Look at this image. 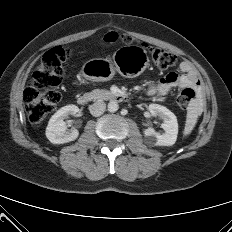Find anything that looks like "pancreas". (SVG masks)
Segmentation results:
<instances>
[{
	"mask_svg": "<svg viewBox=\"0 0 232 232\" xmlns=\"http://www.w3.org/2000/svg\"><path fill=\"white\" fill-rule=\"evenodd\" d=\"M93 100H107L113 96L108 90L95 89L87 94Z\"/></svg>",
	"mask_w": 232,
	"mask_h": 232,
	"instance_id": "cf45deb5",
	"label": "pancreas"
}]
</instances>
